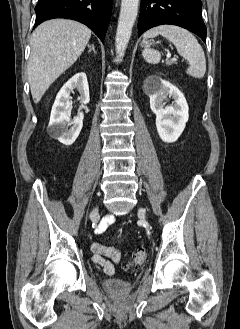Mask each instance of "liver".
<instances>
[{
	"label": "liver",
	"mask_w": 240,
	"mask_h": 329,
	"mask_svg": "<svg viewBox=\"0 0 240 329\" xmlns=\"http://www.w3.org/2000/svg\"><path fill=\"white\" fill-rule=\"evenodd\" d=\"M91 31L81 23L54 19L40 24L31 36L28 81L35 103L83 53Z\"/></svg>",
	"instance_id": "1"
}]
</instances>
